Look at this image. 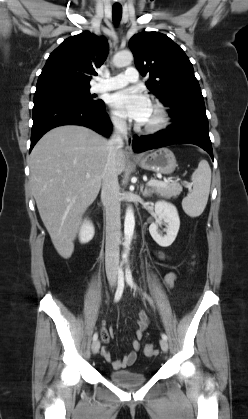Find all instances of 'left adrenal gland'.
<instances>
[{"label":"left adrenal gland","mask_w":248,"mask_h":419,"mask_svg":"<svg viewBox=\"0 0 248 419\" xmlns=\"http://www.w3.org/2000/svg\"><path fill=\"white\" fill-rule=\"evenodd\" d=\"M140 192L142 193L143 196H150L152 194V190L147 187L144 189L143 185L140 186Z\"/></svg>","instance_id":"left-adrenal-gland-1"}]
</instances>
